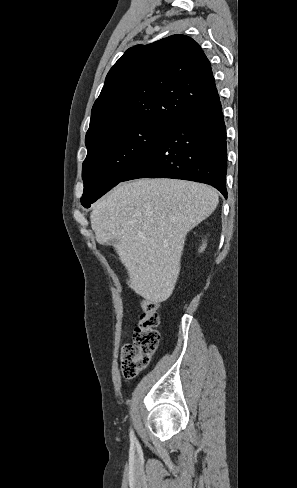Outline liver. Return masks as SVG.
<instances>
[{"label":"liver","instance_id":"obj_1","mask_svg":"<svg viewBox=\"0 0 297 488\" xmlns=\"http://www.w3.org/2000/svg\"><path fill=\"white\" fill-rule=\"evenodd\" d=\"M218 202L217 191L205 184L135 180L118 185L93 206L91 228L100 244H112L116 250L129 287L160 303L174 290L186 235Z\"/></svg>","mask_w":297,"mask_h":488}]
</instances>
